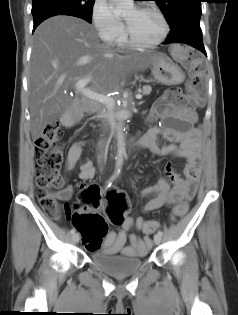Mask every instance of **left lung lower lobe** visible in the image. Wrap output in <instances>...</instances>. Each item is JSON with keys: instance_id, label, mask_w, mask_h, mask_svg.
Returning <instances> with one entry per match:
<instances>
[{"instance_id": "left-lung-lower-lobe-1", "label": "left lung lower lobe", "mask_w": 238, "mask_h": 315, "mask_svg": "<svg viewBox=\"0 0 238 315\" xmlns=\"http://www.w3.org/2000/svg\"><path fill=\"white\" fill-rule=\"evenodd\" d=\"M169 43H185L200 50L206 55V51L202 41V31L200 28V19H192L181 25L176 31L167 36L166 42Z\"/></svg>"}]
</instances>
